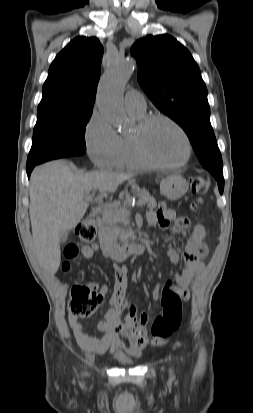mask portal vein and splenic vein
<instances>
[{
  "label": "portal vein and splenic vein",
  "mask_w": 253,
  "mask_h": 413,
  "mask_svg": "<svg viewBox=\"0 0 253 413\" xmlns=\"http://www.w3.org/2000/svg\"><path fill=\"white\" fill-rule=\"evenodd\" d=\"M85 200H86L87 202H91V201H92V196H91L90 194H86ZM139 205H140V203H139ZM140 206H141V205H140Z\"/></svg>",
  "instance_id": "18ae733b"
}]
</instances>
